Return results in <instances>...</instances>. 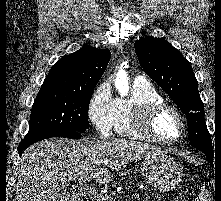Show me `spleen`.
<instances>
[{"instance_id":"obj_1","label":"spleen","mask_w":221,"mask_h":201,"mask_svg":"<svg viewBox=\"0 0 221 201\" xmlns=\"http://www.w3.org/2000/svg\"><path fill=\"white\" fill-rule=\"evenodd\" d=\"M197 201H208V193L205 187L201 189V193L199 197L197 198Z\"/></svg>"}]
</instances>
